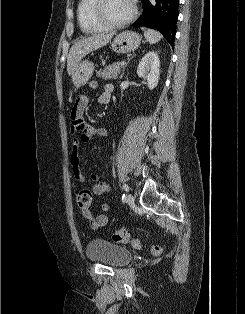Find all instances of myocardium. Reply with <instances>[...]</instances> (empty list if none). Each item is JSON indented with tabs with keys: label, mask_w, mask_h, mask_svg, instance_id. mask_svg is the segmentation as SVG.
Wrapping results in <instances>:
<instances>
[{
	"label": "myocardium",
	"mask_w": 245,
	"mask_h": 314,
	"mask_svg": "<svg viewBox=\"0 0 245 314\" xmlns=\"http://www.w3.org/2000/svg\"><path fill=\"white\" fill-rule=\"evenodd\" d=\"M132 3V12L128 18L121 22L112 23L106 20V18L103 16V4L104 0H95L94 6H93V16L95 20L101 24L106 29H118L127 26L130 24L137 16L138 14V7L135 2V0H131Z\"/></svg>",
	"instance_id": "myocardium-1"
}]
</instances>
